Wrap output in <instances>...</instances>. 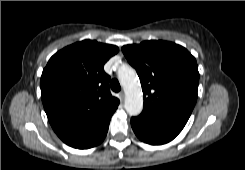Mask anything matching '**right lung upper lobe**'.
I'll list each match as a JSON object with an SVG mask.
<instances>
[{"label":"right lung upper lobe","mask_w":245,"mask_h":170,"mask_svg":"<svg viewBox=\"0 0 245 170\" xmlns=\"http://www.w3.org/2000/svg\"><path fill=\"white\" fill-rule=\"evenodd\" d=\"M118 47L84 40L54 54L41 76L48 120L67 145L81 148L110 122L119 100L109 89L104 64Z\"/></svg>","instance_id":"right-lung-upper-lobe-1"}]
</instances>
